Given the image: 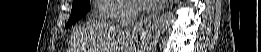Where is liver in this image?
I'll use <instances>...</instances> for the list:
<instances>
[{
    "label": "liver",
    "mask_w": 261,
    "mask_h": 52,
    "mask_svg": "<svg viewBox=\"0 0 261 52\" xmlns=\"http://www.w3.org/2000/svg\"><path fill=\"white\" fill-rule=\"evenodd\" d=\"M81 33L84 50H87L85 52H109L106 50H111V48H107V45L114 37L121 44L120 50H124L121 52H131L132 50L131 43L130 45L127 44L126 47L123 46L126 34L123 33L118 25L115 26L110 22L97 21L88 23Z\"/></svg>",
    "instance_id": "1"
}]
</instances>
